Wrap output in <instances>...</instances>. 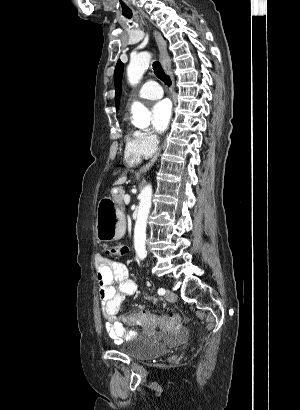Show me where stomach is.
I'll list each match as a JSON object with an SVG mask.
<instances>
[{"mask_svg":"<svg viewBox=\"0 0 300 410\" xmlns=\"http://www.w3.org/2000/svg\"><path fill=\"white\" fill-rule=\"evenodd\" d=\"M95 228L99 241L111 242L124 235L125 216L110 198L100 200Z\"/></svg>","mask_w":300,"mask_h":410,"instance_id":"1","label":"stomach"}]
</instances>
